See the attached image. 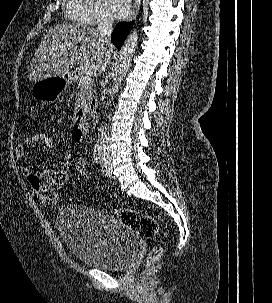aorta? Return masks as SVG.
<instances>
[{"mask_svg": "<svg viewBox=\"0 0 272 303\" xmlns=\"http://www.w3.org/2000/svg\"><path fill=\"white\" fill-rule=\"evenodd\" d=\"M137 45H138V32L136 30H133L128 36V38L126 39L121 49L120 57H119V65H118L117 83L114 85L111 91L110 99L107 102L105 108L111 106V102L113 101L114 94L118 92V89L121 86L123 78L126 76L130 68L131 61L136 51ZM104 114L106 115V111ZM101 129H103V123L99 128V133Z\"/></svg>", "mask_w": 272, "mask_h": 303, "instance_id": "1", "label": "aorta"}]
</instances>
